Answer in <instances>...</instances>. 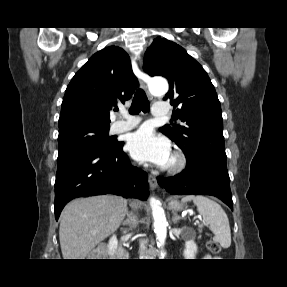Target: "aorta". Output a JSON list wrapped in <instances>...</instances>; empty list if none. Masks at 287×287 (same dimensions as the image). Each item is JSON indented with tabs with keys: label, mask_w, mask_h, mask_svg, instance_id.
I'll return each mask as SVG.
<instances>
[{
	"label": "aorta",
	"mask_w": 287,
	"mask_h": 287,
	"mask_svg": "<svg viewBox=\"0 0 287 287\" xmlns=\"http://www.w3.org/2000/svg\"><path fill=\"white\" fill-rule=\"evenodd\" d=\"M150 90L156 94H165L168 90V83L165 80H154L150 84ZM150 205L152 209V215L154 220V230L156 233L157 244L159 247L164 246L166 236H167V220L163 208L160 203L154 199H150ZM162 257L165 253H161Z\"/></svg>",
	"instance_id": "1"
}]
</instances>
